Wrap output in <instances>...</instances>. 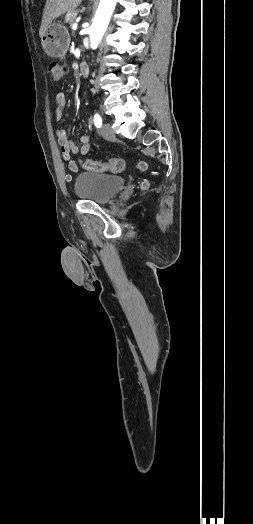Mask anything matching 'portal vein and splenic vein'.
Masks as SVG:
<instances>
[{
    "mask_svg": "<svg viewBox=\"0 0 253 524\" xmlns=\"http://www.w3.org/2000/svg\"><path fill=\"white\" fill-rule=\"evenodd\" d=\"M77 26H78L77 23H73V25H72V29H73V30H76V29H77Z\"/></svg>",
    "mask_w": 253,
    "mask_h": 524,
    "instance_id": "1",
    "label": "portal vein and splenic vein"
}]
</instances>
